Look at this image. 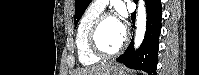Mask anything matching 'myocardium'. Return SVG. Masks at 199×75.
<instances>
[{
	"label": "myocardium",
	"mask_w": 199,
	"mask_h": 75,
	"mask_svg": "<svg viewBox=\"0 0 199 75\" xmlns=\"http://www.w3.org/2000/svg\"><path fill=\"white\" fill-rule=\"evenodd\" d=\"M108 18H114L113 14L108 12L100 13L92 22L87 34L90 50L100 58H109L119 54L126 47L129 39L128 34L125 32L122 43L115 50L106 51L103 49L99 43L98 35L103 22Z\"/></svg>",
	"instance_id": "obj_1"
}]
</instances>
